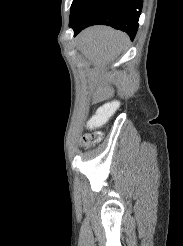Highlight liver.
Returning a JSON list of instances; mask_svg holds the SVG:
<instances>
[{
	"mask_svg": "<svg viewBox=\"0 0 183 246\" xmlns=\"http://www.w3.org/2000/svg\"><path fill=\"white\" fill-rule=\"evenodd\" d=\"M80 52L94 66L89 88L96 100H103L113 94L110 75L106 65L113 62L129 42V37L106 26H92L77 37Z\"/></svg>",
	"mask_w": 183,
	"mask_h": 246,
	"instance_id": "liver-1",
	"label": "liver"
}]
</instances>
